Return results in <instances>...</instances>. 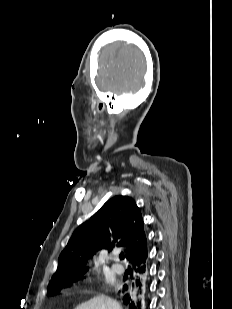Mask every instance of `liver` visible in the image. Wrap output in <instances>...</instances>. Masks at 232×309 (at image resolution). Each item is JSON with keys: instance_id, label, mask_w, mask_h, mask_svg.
<instances>
[{"instance_id": "1", "label": "liver", "mask_w": 232, "mask_h": 309, "mask_svg": "<svg viewBox=\"0 0 232 309\" xmlns=\"http://www.w3.org/2000/svg\"><path fill=\"white\" fill-rule=\"evenodd\" d=\"M75 309H122V307L115 300L104 295H99L82 303Z\"/></svg>"}]
</instances>
